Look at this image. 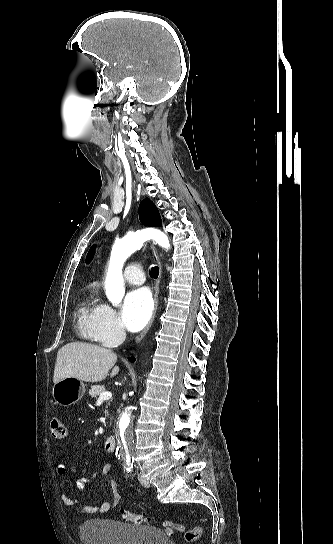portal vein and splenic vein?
<instances>
[{
	"instance_id": "18ae733b",
	"label": "portal vein and splenic vein",
	"mask_w": 333,
	"mask_h": 544,
	"mask_svg": "<svg viewBox=\"0 0 333 544\" xmlns=\"http://www.w3.org/2000/svg\"><path fill=\"white\" fill-rule=\"evenodd\" d=\"M112 397V393L111 392H104L102 393L99 398H98V402H102L103 400H108Z\"/></svg>"
}]
</instances>
